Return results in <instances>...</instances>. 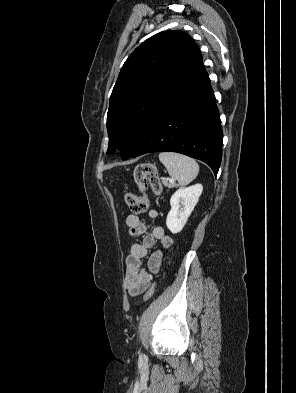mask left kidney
I'll return each mask as SVG.
<instances>
[{"label": "left kidney", "instance_id": "obj_1", "mask_svg": "<svg viewBox=\"0 0 296 393\" xmlns=\"http://www.w3.org/2000/svg\"><path fill=\"white\" fill-rule=\"evenodd\" d=\"M203 191L201 184L179 188L170 199L171 210L167 215L166 225L173 234L179 233L185 226Z\"/></svg>", "mask_w": 296, "mask_h": 393}]
</instances>
